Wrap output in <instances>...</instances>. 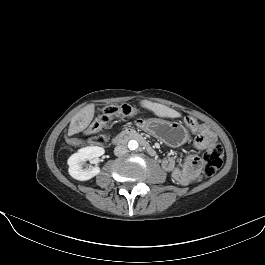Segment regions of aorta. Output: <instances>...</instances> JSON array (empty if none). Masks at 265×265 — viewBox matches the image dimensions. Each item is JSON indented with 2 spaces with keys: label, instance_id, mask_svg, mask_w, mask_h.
I'll return each mask as SVG.
<instances>
[{
  "label": "aorta",
  "instance_id": "1",
  "mask_svg": "<svg viewBox=\"0 0 265 265\" xmlns=\"http://www.w3.org/2000/svg\"><path fill=\"white\" fill-rule=\"evenodd\" d=\"M138 147H139V144H138V142L136 140H130L128 142V148H129V150L134 151V150H137Z\"/></svg>",
  "mask_w": 265,
  "mask_h": 265
}]
</instances>
